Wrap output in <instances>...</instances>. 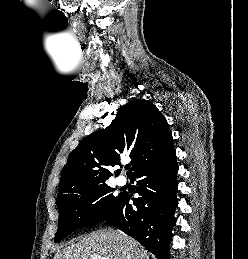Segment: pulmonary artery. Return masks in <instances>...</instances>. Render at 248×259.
<instances>
[{"label": "pulmonary artery", "mask_w": 248, "mask_h": 259, "mask_svg": "<svg viewBox=\"0 0 248 259\" xmlns=\"http://www.w3.org/2000/svg\"><path fill=\"white\" fill-rule=\"evenodd\" d=\"M117 183L121 186L125 185L127 183V179L124 176H119L117 178Z\"/></svg>", "instance_id": "obj_1"}]
</instances>
